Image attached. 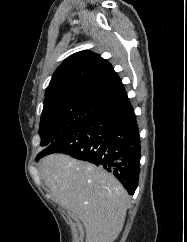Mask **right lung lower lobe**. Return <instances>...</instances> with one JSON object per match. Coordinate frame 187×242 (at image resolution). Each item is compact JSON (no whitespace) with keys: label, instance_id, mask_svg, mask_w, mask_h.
Masks as SVG:
<instances>
[{"label":"right lung lower lobe","instance_id":"1","mask_svg":"<svg viewBox=\"0 0 187 242\" xmlns=\"http://www.w3.org/2000/svg\"><path fill=\"white\" fill-rule=\"evenodd\" d=\"M51 153L68 154L102 166L133 195L140 172V138L127 95L55 140L37 155L36 160Z\"/></svg>","mask_w":187,"mask_h":242}]
</instances>
